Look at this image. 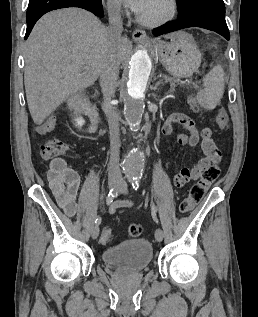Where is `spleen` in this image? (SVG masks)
<instances>
[{
    "label": "spleen",
    "mask_w": 258,
    "mask_h": 317,
    "mask_svg": "<svg viewBox=\"0 0 258 317\" xmlns=\"http://www.w3.org/2000/svg\"><path fill=\"white\" fill-rule=\"evenodd\" d=\"M203 80L205 88L197 92V102L203 108L212 110L219 104L224 92V70L221 64L214 66Z\"/></svg>",
    "instance_id": "obj_1"
}]
</instances>
